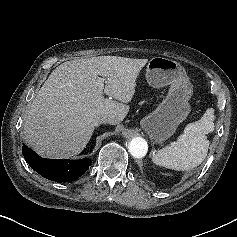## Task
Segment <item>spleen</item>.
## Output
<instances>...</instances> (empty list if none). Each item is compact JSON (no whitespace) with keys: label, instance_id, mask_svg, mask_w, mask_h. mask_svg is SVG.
<instances>
[{"label":"spleen","instance_id":"1","mask_svg":"<svg viewBox=\"0 0 237 237\" xmlns=\"http://www.w3.org/2000/svg\"><path fill=\"white\" fill-rule=\"evenodd\" d=\"M214 118L213 108L207 109L200 120L185 127L176 142L153 155V162L178 171L192 170L200 165L208 153L210 143L206 134L214 130Z\"/></svg>","mask_w":237,"mask_h":237}]
</instances>
